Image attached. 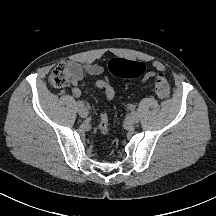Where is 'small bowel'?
<instances>
[{
    "label": "small bowel",
    "instance_id": "obj_1",
    "mask_svg": "<svg viewBox=\"0 0 216 216\" xmlns=\"http://www.w3.org/2000/svg\"><path fill=\"white\" fill-rule=\"evenodd\" d=\"M64 64H66L68 67L69 77L72 85L71 92L76 98L81 97L82 88L85 85L84 80L87 76H101L104 72V69L101 65L94 63L79 64L76 62L67 61ZM152 66L154 70H151L144 75L142 78L143 83L157 77L160 74H163L166 71L165 65L160 61H153ZM94 84L98 89L104 92L108 101L113 100L115 97V90L108 79H99Z\"/></svg>",
    "mask_w": 216,
    "mask_h": 216
}]
</instances>
